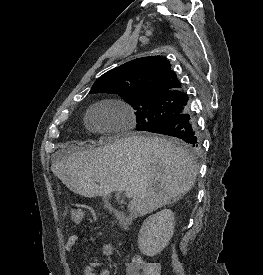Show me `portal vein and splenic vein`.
<instances>
[{
    "label": "portal vein and splenic vein",
    "instance_id": "18ae733b",
    "mask_svg": "<svg viewBox=\"0 0 263 275\" xmlns=\"http://www.w3.org/2000/svg\"><path fill=\"white\" fill-rule=\"evenodd\" d=\"M125 194H126L127 198H131V196H132L131 193L128 191H125Z\"/></svg>",
    "mask_w": 263,
    "mask_h": 275
}]
</instances>
